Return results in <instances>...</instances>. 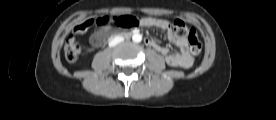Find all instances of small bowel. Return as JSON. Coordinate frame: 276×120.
Here are the masks:
<instances>
[{
  "mask_svg": "<svg viewBox=\"0 0 276 120\" xmlns=\"http://www.w3.org/2000/svg\"><path fill=\"white\" fill-rule=\"evenodd\" d=\"M141 24L148 27H156L166 32L168 41L174 43L180 48V52L171 51L167 47L159 45L156 41L147 39L146 44L153 49L159 51L165 57L168 65L178 68H189L193 64V57L189 53V44L185 39L176 38L170 29V25L166 20L145 18L141 21ZM103 41V34L101 32H95L91 35L90 42L94 47H99Z\"/></svg>",
  "mask_w": 276,
  "mask_h": 120,
  "instance_id": "1",
  "label": "small bowel"
}]
</instances>
